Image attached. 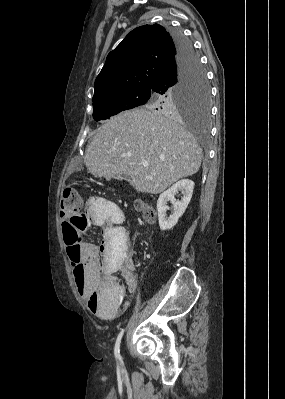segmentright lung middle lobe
Listing matches in <instances>:
<instances>
[{"label": "right lung middle lobe", "mask_w": 285, "mask_h": 399, "mask_svg": "<svg viewBox=\"0 0 285 399\" xmlns=\"http://www.w3.org/2000/svg\"><path fill=\"white\" fill-rule=\"evenodd\" d=\"M141 105L164 113L182 111L207 122L210 116V89L199 58L187 68L180 82L165 93L131 89L93 99V118L95 121L105 120Z\"/></svg>", "instance_id": "dd1d6c3e"}]
</instances>
